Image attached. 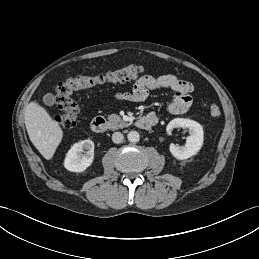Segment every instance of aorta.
Listing matches in <instances>:
<instances>
[{"label": "aorta", "mask_w": 259, "mask_h": 259, "mask_svg": "<svg viewBox=\"0 0 259 259\" xmlns=\"http://www.w3.org/2000/svg\"><path fill=\"white\" fill-rule=\"evenodd\" d=\"M127 138L130 142L136 143L140 140V135L137 131H130L127 135Z\"/></svg>", "instance_id": "1"}]
</instances>
